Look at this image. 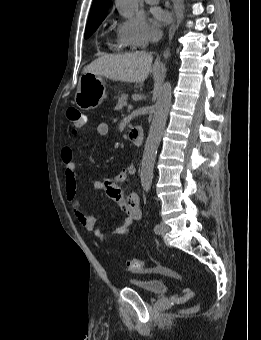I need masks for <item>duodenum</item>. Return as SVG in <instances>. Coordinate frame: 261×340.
<instances>
[{
	"instance_id": "duodenum-1",
	"label": "duodenum",
	"mask_w": 261,
	"mask_h": 340,
	"mask_svg": "<svg viewBox=\"0 0 261 340\" xmlns=\"http://www.w3.org/2000/svg\"><path fill=\"white\" fill-rule=\"evenodd\" d=\"M129 139L135 146H141L143 141V129L136 127L130 130Z\"/></svg>"
}]
</instances>
